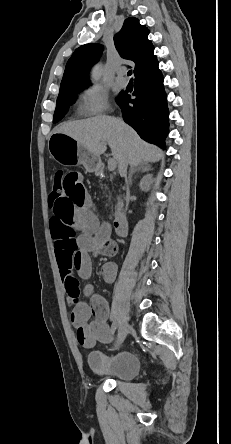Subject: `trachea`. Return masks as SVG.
Returning <instances> with one entry per match:
<instances>
[{
  "label": "trachea",
  "mask_w": 231,
  "mask_h": 444,
  "mask_svg": "<svg viewBox=\"0 0 231 444\" xmlns=\"http://www.w3.org/2000/svg\"><path fill=\"white\" fill-rule=\"evenodd\" d=\"M127 75H128V76H131V75H132V70H129L128 73H127Z\"/></svg>",
  "instance_id": "1"
}]
</instances>
